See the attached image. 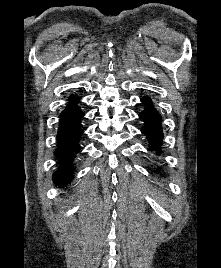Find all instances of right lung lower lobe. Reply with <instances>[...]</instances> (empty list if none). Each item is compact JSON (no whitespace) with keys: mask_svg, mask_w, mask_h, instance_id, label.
I'll list each match as a JSON object with an SVG mask.
<instances>
[{"mask_svg":"<svg viewBox=\"0 0 221 268\" xmlns=\"http://www.w3.org/2000/svg\"><path fill=\"white\" fill-rule=\"evenodd\" d=\"M79 98L71 97L66 108L60 114L57 133L56 157L60 168L53 174L54 182L58 186L71 181L73 160L80 151V138L83 133V111L78 107Z\"/></svg>","mask_w":221,"mask_h":268,"instance_id":"right-lung-lower-lobe-1","label":"right lung lower lobe"}]
</instances>
